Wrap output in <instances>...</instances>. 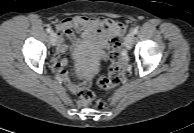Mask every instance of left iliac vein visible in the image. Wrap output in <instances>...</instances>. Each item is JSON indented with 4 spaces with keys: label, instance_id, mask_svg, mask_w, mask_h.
Listing matches in <instances>:
<instances>
[{
    "label": "left iliac vein",
    "instance_id": "obj_1",
    "mask_svg": "<svg viewBox=\"0 0 194 133\" xmlns=\"http://www.w3.org/2000/svg\"><path fill=\"white\" fill-rule=\"evenodd\" d=\"M133 39H134V34L133 33H129L124 40V45L126 47V49L130 50L133 44Z\"/></svg>",
    "mask_w": 194,
    "mask_h": 133
}]
</instances>
